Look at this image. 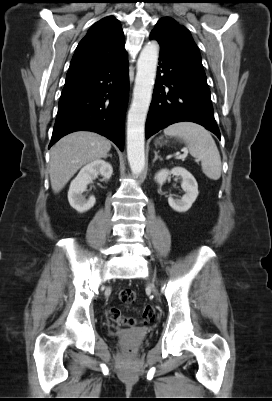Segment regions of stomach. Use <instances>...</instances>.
<instances>
[{
  "instance_id": "1",
  "label": "stomach",
  "mask_w": 272,
  "mask_h": 401,
  "mask_svg": "<svg viewBox=\"0 0 272 401\" xmlns=\"http://www.w3.org/2000/svg\"><path fill=\"white\" fill-rule=\"evenodd\" d=\"M160 140H162V138L160 137L158 140H157V143L158 144H160Z\"/></svg>"
}]
</instances>
